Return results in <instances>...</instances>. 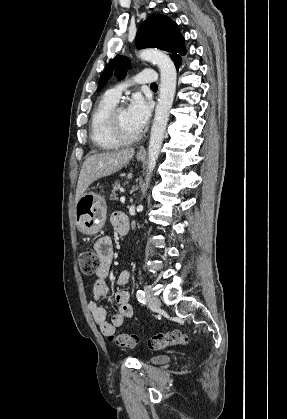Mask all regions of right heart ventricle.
<instances>
[{"label": "right heart ventricle", "instance_id": "e07e8e85", "mask_svg": "<svg viewBox=\"0 0 287 419\" xmlns=\"http://www.w3.org/2000/svg\"><path fill=\"white\" fill-rule=\"evenodd\" d=\"M117 100L106 93L101 97L94 108L90 119V138L93 144L103 150L118 148L119 143L109 132L107 118L110 111L116 106Z\"/></svg>", "mask_w": 287, "mask_h": 419}]
</instances>
